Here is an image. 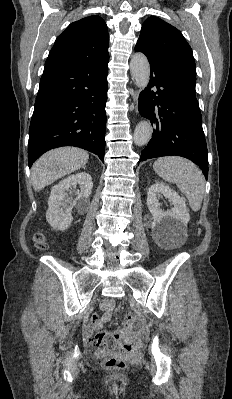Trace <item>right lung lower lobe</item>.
<instances>
[{
	"mask_svg": "<svg viewBox=\"0 0 232 399\" xmlns=\"http://www.w3.org/2000/svg\"><path fill=\"white\" fill-rule=\"evenodd\" d=\"M108 61L44 67L29 129L30 167L61 146L80 147L104 160Z\"/></svg>",
	"mask_w": 232,
	"mask_h": 399,
	"instance_id": "98d812e1",
	"label": "right lung lower lobe"
}]
</instances>
